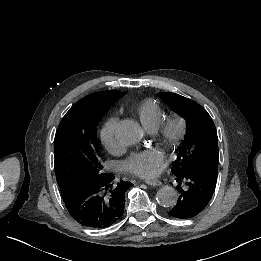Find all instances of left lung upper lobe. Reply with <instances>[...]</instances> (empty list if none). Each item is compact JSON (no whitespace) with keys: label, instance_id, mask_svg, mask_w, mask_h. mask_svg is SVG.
<instances>
[{"label":"left lung upper lobe","instance_id":"obj_1","mask_svg":"<svg viewBox=\"0 0 261 261\" xmlns=\"http://www.w3.org/2000/svg\"><path fill=\"white\" fill-rule=\"evenodd\" d=\"M158 95L173 110L181 113L187 123L186 136L171 172L180 176L195 171L217 178L218 137L208 112L198 103L181 95L168 92H160Z\"/></svg>","mask_w":261,"mask_h":261}]
</instances>
